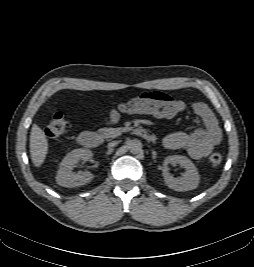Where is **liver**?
<instances>
[{
	"label": "liver",
	"mask_w": 254,
	"mask_h": 267,
	"mask_svg": "<svg viewBox=\"0 0 254 267\" xmlns=\"http://www.w3.org/2000/svg\"><path fill=\"white\" fill-rule=\"evenodd\" d=\"M48 153V140L44 131L36 124L30 133V156L35 167H40Z\"/></svg>",
	"instance_id": "obj_1"
}]
</instances>
